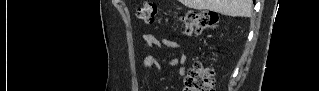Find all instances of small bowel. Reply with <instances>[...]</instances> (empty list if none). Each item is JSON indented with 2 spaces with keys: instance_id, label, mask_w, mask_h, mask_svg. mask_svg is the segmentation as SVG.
Masks as SVG:
<instances>
[{
  "instance_id": "obj_1",
  "label": "small bowel",
  "mask_w": 319,
  "mask_h": 91,
  "mask_svg": "<svg viewBox=\"0 0 319 91\" xmlns=\"http://www.w3.org/2000/svg\"><path fill=\"white\" fill-rule=\"evenodd\" d=\"M143 39L145 43L151 47L167 48V49H174V50L180 47V43L177 40L170 39V38L159 39L151 33L144 34ZM185 62H186V55L181 53L178 56L170 59L168 61V64L172 67H177L179 76L183 77L186 74V68L184 66ZM142 66L144 68H158L159 62L155 56L147 55L142 59Z\"/></svg>"
}]
</instances>
